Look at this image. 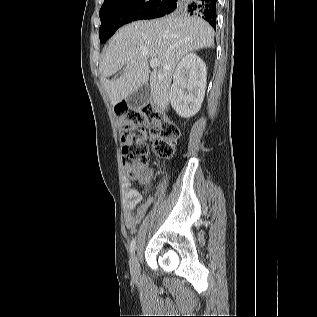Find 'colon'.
<instances>
[{"mask_svg": "<svg viewBox=\"0 0 317 317\" xmlns=\"http://www.w3.org/2000/svg\"><path fill=\"white\" fill-rule=\"evenodd\" d=\"M115 112L122 143V162L130 178L138 179L148 166L147 137L159 156L168 158L173 155L180 137L179 128L154 105L133 108L121 104Z\"/></svg>", "mask_w": 317, "mask_h": 317, "instance_id": "colon-1", "label": "colon"}]
</instances>
